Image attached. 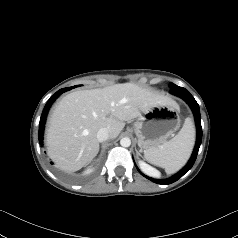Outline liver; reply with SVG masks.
Returning <instances> with one entry per match:
<instances>
[{
  "label": "liver",
  "mask_w": 238,
  "mask_h": 238,
  "mask_svg": "<svg viewBox=\"0 0 238 238\" xmlns=\"http://www.w3.org/2000/svg\"><path fill=\"white\" fill-rule=\"evenodd\" d=\"M155 105L176 103L132 83L67 94L51 115L47 153L60 169L77 171L97 155L99 129L106 128L109 138L115 139L124 128V121L140 117L143 111Z\"/></svg>",
  "instance_id": "6515ba94"
}]
</instances>
